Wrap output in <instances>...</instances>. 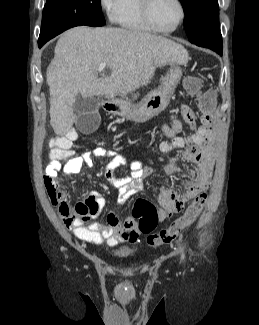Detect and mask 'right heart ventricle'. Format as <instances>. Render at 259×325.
<instances>
[{"label": "right heart ventricle", "instance_id": "1", "mask_svg": "<svg viewBox=\"0 0 259 325\" xmlns=\"http://www.w3.org/2000/svg\"><path fill=\"white\" fill-rule=\"evenodd\" d=\"M113 20L128 30L137 32L153 31L143 18L141 0H119Z\"/></svg>", "mask_w": 259, "mask_h": 325}]
</instances>
